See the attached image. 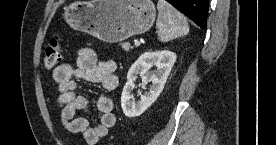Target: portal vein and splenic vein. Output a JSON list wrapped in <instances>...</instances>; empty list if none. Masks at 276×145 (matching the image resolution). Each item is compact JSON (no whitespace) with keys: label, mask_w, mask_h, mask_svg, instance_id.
Instances as JSON below:
<instances>
[{"label":"portal vein and splenic vein","mask_w":276,"mask_h":145,"mask_svg":"<svg viewBox=\"0 0 276 145\" xmlns=\"http://www.w3.org/2000/svg\"><path fill=\"white\" fill-rule=\"evenodd\" d=\"M140 44H141V43H140L139 41H135L134 46H135V47H139Z\"/></svg>","instance_id":"1"}]
</instances>
